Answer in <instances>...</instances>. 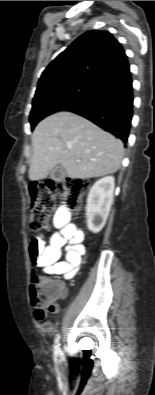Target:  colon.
<instances>
[{
    "label": "colon",
    "instance_id": "1",
    "mask_svg": "<svg viewBox=\"0 0 155 395\" xmlns=\"http://www.w3.org/2000/svg\"><path fill=\"white\" fill-rule=\"evenodd\" d=\"M89 188V182L79 178H65L37 182L30 186L31 206L29 221L33 230H46L55 209L56 200L63 199L69 211H78L81 198ZM30 302L38 311L56 308V300L62 295L60 284L43 276L39 270H33L29 290Z\"/></svg>",
    "mask_w": 155,
    "mask_h": 395
}]
</instances>
